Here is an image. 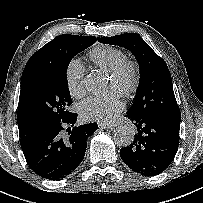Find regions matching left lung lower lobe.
Masks as SVG:
<instances>
[{"instance_id": "left-lung-lower-lobe-1", "label": "left lung lower lobe", "mask_w": 203, "mask_h": 203, "mask_svg": "<svg viewBox=\"0 0 203 203\" xmlns=\"http://www.w3.org/2000/svg\"><path fill=\"white\" fill-rule=\"evenodd\" d=\"M125 117L134 125L136 134L133 142L120 150L122 160L143 176L162 173L177 153L181 118Z\"/></svg>"}]
</instances>
